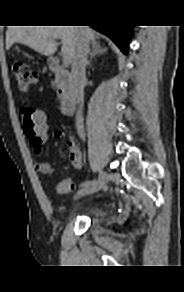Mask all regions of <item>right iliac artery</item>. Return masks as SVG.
Instances as JSON below:
<instances>
[{
  "label": "right iliac artery",
  "mask_w": 184,
  "mask_h": 292,
  "mask_svg": "<svg viewBox=\"0 0 184 292\" xmlns=\"http://www.w3.org/2000/svg\"><path fill=\"white\" fill-rule=\"evenodd\" d=\"M95 182H96V179H89V182H85L84 184H83V186L84 187H89V186H91V187H94L95 186ZM97 182H99V179H97Z\"/></svg>",
  "instance_id": "obj_1"
}]
</instances>
